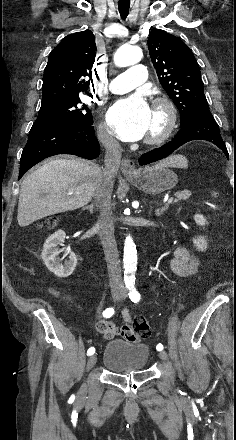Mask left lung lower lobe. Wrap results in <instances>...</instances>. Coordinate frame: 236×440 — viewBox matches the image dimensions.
<instances>
[{
    "mask_svg": "<svg viewBox=\"0 0 236 440\" xmlns=\"http://www.w3.org/2000/svg\"><path fill=\"white\" fill-rule=\"evenodd\" d=\"M192 140H207L218 146L228 157V151L219 132L218 125L210 110H203L181 126L174 139L161 148L145 153L139 159L140 165H146L165 158L181 145Z\"/></svg>",
    "mask_w": 236,
    "mask_h": 440,
    "instance_id": "1",
    "label": "left lung lower lobe"
}]
</instances>
